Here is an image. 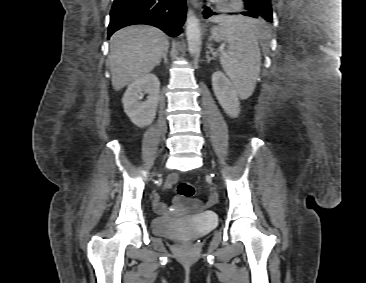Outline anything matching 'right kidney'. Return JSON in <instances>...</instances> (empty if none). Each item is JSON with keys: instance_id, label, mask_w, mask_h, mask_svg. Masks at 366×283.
Instances as JSON below:
<instances>
[{"instance_id": "obj_1", "label": "right kidney", "mask_w": 366, "mask_h": 283, "mask_svg": "<svg viewBox=\"0 0 366 283\" xmlns=\"http://www.w3.org/2000/svg\"><path fill=\"white\" fill-rule=\"evenodd\" d=\"M160 82L154 74H146L134 80L127 88L122 98L124 111L138 127L150 125L156 115L159 103ZM147 93V100L141 102Z\"/></svg>"}]
</instances>
